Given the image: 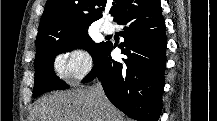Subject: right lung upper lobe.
Returning <instances> with one entry per match:
<instances>
[{"instance_id":"cb5924a9","label":"right lung upper lobe","mask_w":217,"mask_h":121,"mask_svg":"<svg viewBox=\"0 0 217 121\" xmlns=\"http://www.w3.org/2000/svg\"><path fill=\"white\" fill-rule=\"evenodd\" d=\"M136 0H113L114 21L130 9ZM107 0H47L41 18L36 46L62 39L88 28L102 17Z\"/></svg>"}]
</instances>
